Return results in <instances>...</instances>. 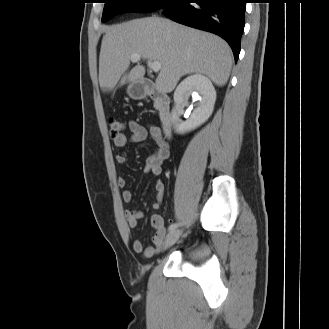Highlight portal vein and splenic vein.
Returning a JSON list of instances; mask_svg holds the SVG:
<instances>
[{
    "mask_svg": "<svg viewBox=\"0 0 329 329\" xmlns=\"http://www.w3.org/2000/svg\"><path fill=\"white\" fill-rule=\"evenodd\" d=\"M130 59L133 63H136L141 59V55L140 54H133ZM148 66L150 67V69L153 72H156V73L159 72L160 69H161V63L158 62V61H148Z\"/></svg>",
    "mask_w": 329,
    "mask_h": 329,
    "instance_id": "obj_1",
    "label": "portal vein and splenic vein"
}]
</instances>
